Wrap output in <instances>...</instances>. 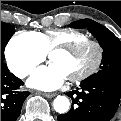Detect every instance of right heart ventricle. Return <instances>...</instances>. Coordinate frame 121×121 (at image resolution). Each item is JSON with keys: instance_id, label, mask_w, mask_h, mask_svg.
Returning a JSON list of instances; mask_svg holds the SVG:
<instances>
[{"instance_id": "obj_1", "label": "right heart ventricle", "mask_w": 121, "mask_h": 121, "mask_svg": "<svg viewBox=\"0 0 121 121\" xmlns=\"http://www.w3.org/2000/svg\"><path fill=\"white\" fill-rule=\"evenodd\" d=\"M26 34L32 36L39 43L41 50L46 53L58 45H70L87 37L79 32L68 30L31 31Z\"/></svg>"}]
</instances>
